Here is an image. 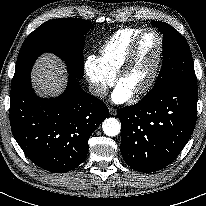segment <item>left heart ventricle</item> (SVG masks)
I'll return each mask as SVG.
<instances>
[{
	"label": "left heart ventricle",
	"mask_w": 206,
	"mask_h": 206,
	"mask_svg": "<svg viewBox=\"0 0 206 206\" xmlns=\"http://www.w3.org/2000/svg\"><path fill=\"white\" fill-rule=\"evenodd\" d=\"M158 39L149 33L142 39L137 54L120 84L132 92L136 91L148 80L158 54Z\"/></svg>",
	"instance_id": "b2bd125f"
}]
</instances>
